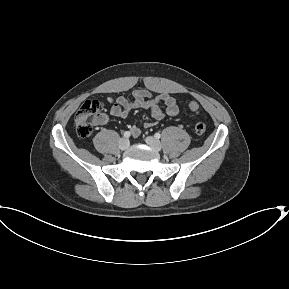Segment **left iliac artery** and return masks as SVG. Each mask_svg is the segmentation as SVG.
I'll use <instances>...</instances> for the list:
<instances>
[{"label": "left iliac artery", "mask_w": 289, "mask_h": 289, "mask_svg": "<svg viewBox=\"0 0 289 289\" xmlns=\"http://www.w3.org/2000/svg\"><path fill=\"white\" fill-rule=\"evenodd\" d=\"M154 136H155L156 139H159L161 137V134L160 133H155Z\"/></svg>", "instance_id": "obj_1"}]
</instances>
